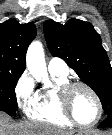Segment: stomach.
Instances as JSON below:
<instances>
[{"label": "stomach", "mask_w": 112, "mask_h": 135, "mask_svg": "<svg viewBox=\"0 0 112 135\" xmlns=\"http://www.w3.org/2000/svg\"><path fill=\"white\" fill-rule=\"evenodd\" d=\"M77 135H99V134L95 132L86 131V132H79Z\"/></svg>", "instance_id": "stomach-1"}]
</instances>
